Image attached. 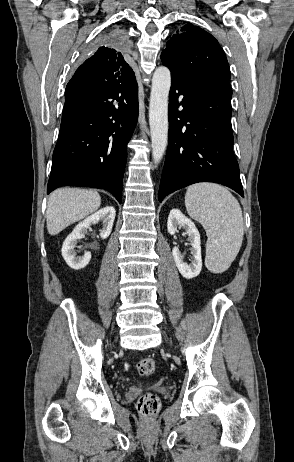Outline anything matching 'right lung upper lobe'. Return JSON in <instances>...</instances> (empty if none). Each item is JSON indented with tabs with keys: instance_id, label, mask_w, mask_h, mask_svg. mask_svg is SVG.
I'll return each mask as SVG.
<instances>
[{
	"instance_id": "right-lung-upper-lobe-1",
	"label": "right lung upper lobe",
	"mask_w": 294,
	"mask_h": 462,
	"mask_svg": "<svg viewBox=\"0 0 294 462\" xmlns=\"http://www.w3.org/2000/svg\"><path fill=\"white\" fill-rule=\"evenodd\" d=\"M134 76L116 48L102 46L76 70L66 91L71 94H92L123 85Z\"/></svg>"
}]
</instances>
